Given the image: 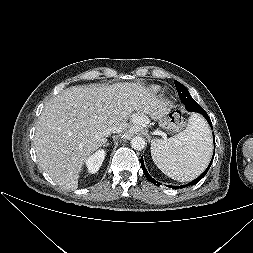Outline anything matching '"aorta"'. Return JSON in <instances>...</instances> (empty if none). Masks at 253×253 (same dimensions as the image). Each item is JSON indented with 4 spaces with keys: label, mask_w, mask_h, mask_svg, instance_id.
I'll return each mask as SVG.
<instances>
[{
    "label": "aorta",
    "mask_w": 253,
    "mask_h": 253,
    "mask_svg": "<svg viewBox=\"0 0 253 253\" xmlns=\"http://www.w3.org/2000/svg\"><path fill=\"white\" fill-rule=\"evenodd\" d=\"M145 140L140 136L133 137L131 139V146L135 150H142L145 147Z\"/></svg>",
    "instance_id": "aorta-1"
}]
</instances>
